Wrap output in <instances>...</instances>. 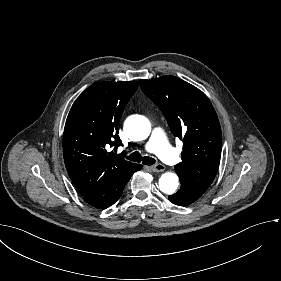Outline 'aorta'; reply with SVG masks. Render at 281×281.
<instances>
[{"label":"aorta","mask_w":281,"mask_h":281,"mask_svg":"<svg viewBox=\"0 0 281 281\" xmlns=\"http://www.w3.org/2000/svg\"><path fill=\"white\" fill-rule=\"evenodd\" d=\"M125 130L134 140H144L151 132L149 120L143 116H133L125 123ZM179 178L175 173L166 172L159 179V188L165 194H173L178 187Z\"/></svg>","instance_id":"1"}]
</instances>
